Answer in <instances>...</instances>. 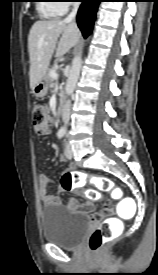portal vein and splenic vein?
<instances>
[{
  "label": "portal vein and splenic vein",
  "instance_id": "portal-vein-and-splenic-vein-1",
  "mask_svg": "<svg viewBox=\"0 0 158 275\" xmlns=\"http://www.w3.org/2000/svg\"><path fill=\"white\" fill-rule=\"evenodd\" d=\"M50 75H51V77L53 78V79H57L58 78V73H57V71H56V69H54V70H52L51 72H50Z\"/></svg>",
  "mask_w": 158,
  "mask_h": 275
}]
</instances>
